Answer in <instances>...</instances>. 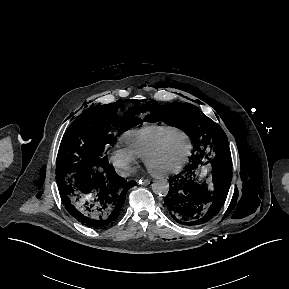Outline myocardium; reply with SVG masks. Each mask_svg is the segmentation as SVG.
I'll return each instance as SVG.
<instances>
[{
  "instance_id": "f54148a6",
  "label": "myocardium",
  "mask_w": 289,
  "mask_h": 289,
  "mask_svg": "<svg viewBox=\"0 0 289 289\" xmlns=\"http://www.w3.org/2000/svg\"><path fill=\"white\" fill-rule=\"evenodd\" d=\"M175 136H183L187 139V142H188V149H187V152H186V155H185L183 161L178 166H176L172 169H169V170H165V171H161V172L151 170L148 167L149 158L152 155H154L155 153H157L168 140H170L171 138H173ZM192 149H193V145H192V141H191L190 137L185 132H183L181 130H176V131L172 132L171 134L167 135L166 137H164L163 139H161L159 142H157L151 148H149L142 156V161L152 176H154V177H167V176L174 175V174L181 172L186 167V165L188 164V162L190 160V157L192 154Z\"/></svg>"
}]
</instances>
